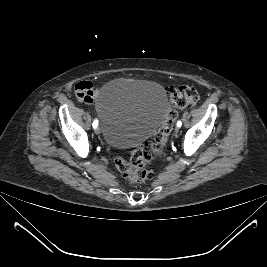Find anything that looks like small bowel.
<instances>
[{"label":"small bowel","instance_id":"small-bowel-1","mask_svg":"<svg viewBox=\"0 0 267 267\" xmlns=\"http://www.w3.org/2000/svg\"><path fill=\"white\" fill-rule=\"evenodd\" d=\"M75 93L77 98L83 102H92L94 90L90 82L81 81L75 85Z\"/></svg>","mask_w":267,"mask_h":267}]
</instances>
